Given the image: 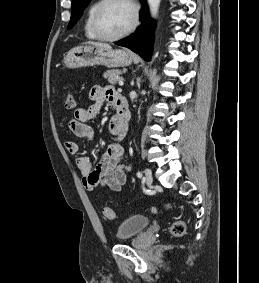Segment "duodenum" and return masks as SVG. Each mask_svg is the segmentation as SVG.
Wrapping results in <instances>:
<instances>
[{
	"mask_svg": "<svg viewBox=\"0 0 259 283\" xmlns=\"http://www.w3.org/2000/svg\"><path fill=\"white\" fill-rule=\"evenodd\" d=\"M116 124L121 127H127L129 121V111L125 99L122 96H119L116 101Z\"/></svg>",
	"mask_w": 259,
	"mask_h": 283,
	"instance_id": "duodenum-1",
	"label": "duodenum"
}]
</instances>
